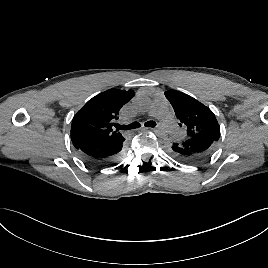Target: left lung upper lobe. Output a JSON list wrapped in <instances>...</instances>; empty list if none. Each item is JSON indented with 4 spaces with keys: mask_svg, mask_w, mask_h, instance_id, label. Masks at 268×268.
Segmentation results:
<instances>
[{
    "mask_svg": "<svg viewBox=\"0 0 268 268\" xmlns=\"http://www.w3.org/2000/svg\"><path fill=\"white\" fill-rule=\"evenodd\" d=\"M165 96L171 103L176 117L186 128V137H209L215 141L219 140L220 126L208 107L176 90L166 91Z\"/></svg>",
    "mask_w": 268,
    "mask_h": 268,
    "instance_id": "5c2ea615",
    "label": "left lung upper lobe"
}]
</instances>
